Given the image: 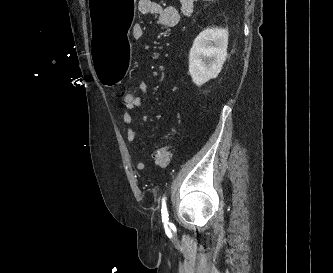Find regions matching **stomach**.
<instances>
[{
  "label": "stomach",
  "instance_id": "0dacf381",
  "mask_svg": "<svg viewBox=\"0 0 333 273\" xmlns=\"http://www.w3.org/2000/svg\"><path fill=\"white\" fill-rule=\"evenodd\" d=\"M90 44L96 81L110 86L129 75L131 49L128 32L135 19L136 0H88Z\"/></svg>",
  "mask_w": 333,
  "mask_h": 273
}]
</instances>
